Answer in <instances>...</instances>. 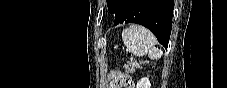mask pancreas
I'll return each instance as SVG.
<instances>
[{"mask_svg": "<svg viewBox=\"0 0 227 88\" xmlns=\"http://www.w3.org/2000/svg\"><path fill=\"white\" fill-rule=\"evenodd\" d=\"M141 65L137 61H129L127 65H125L126 71L130 73H134L137 69H140Z\"/></svg>", "mask_w": 227, "mask_h": 88, "instance_id": "1", "label": "pancreas"}]
</instances>
